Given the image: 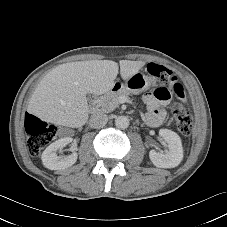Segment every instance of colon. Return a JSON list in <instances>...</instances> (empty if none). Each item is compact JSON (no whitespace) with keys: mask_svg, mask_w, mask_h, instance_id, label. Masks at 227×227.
<instances>
[{"mask_svg":"<svg viewBox=\"0 0 227 227\" xmlns=\"http://www.w3.org/2000/svg\"><path fill=\"white\" fill-rule=\"evenodd\" d=\"M148 72L159 78L161 87H168L180 99V102L173 105L172 114L179 131L189 135L192 131L193 117L182 103L185 97L183 86L173 73L162 65L151 63L148 65ZM24 125L28 134V151L33 156L38 155L57 136L58 129L55 125L44 122L32 114H26Z\"/></svg>","mask_w":227,"mask_h":227,"instance_id":"1","label":"colon"}]
</instances>
